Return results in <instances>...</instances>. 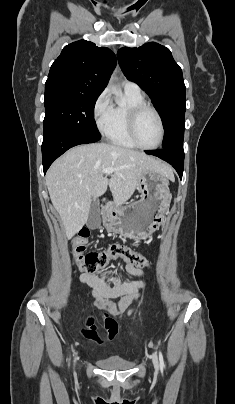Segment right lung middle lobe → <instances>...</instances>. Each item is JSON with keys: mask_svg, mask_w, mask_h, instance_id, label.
Here are the masks:
<instances>
[{"mask_svg": "<svg viewBox=\"0 0 235 404\" xmlns=\"http://www.w3.org/2000/svg\"><path fill=\"white\" fill-rule=\"evenodd\" d=\"M98 96L64 87H46L44 136L70 130L100 140L94 120V106Z\"/></svg>", "mask_w": 235, "mask_h": 404, "instance_id": "dd1d6c3e", "label": "right lung middle lobe"}]
</instances>
